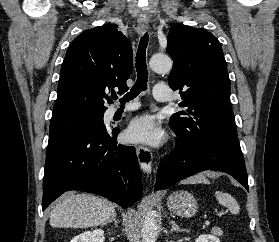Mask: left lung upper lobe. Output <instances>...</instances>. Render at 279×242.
<instances>
[{
  "mask_svg": "<svg viewBox=\"0 0 279 242\" xmlns=\"http://www.w3.org/2000/svg\"><path fill=\"white\" fill-rule=\"evenodd\" d=\"M173 58L168 84L181 93L169 122L181 148L216 145L241 151L230 107V79L220 42L211 33L186 25L168 34Z\"/></svg>",
  "mask_w": 279,
  "mask_h": 242,
  "instance_id": "5c2ea615",
  "label": "left lung upper lobe"
}]
</instances>
